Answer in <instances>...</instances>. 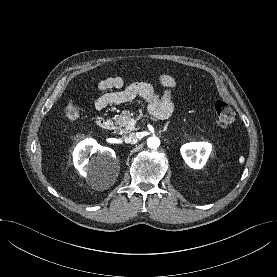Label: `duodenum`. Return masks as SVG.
I'll list each match as a JSON object with an SVG mask.
<instances>
[{
  "instance_id": "1",
  "label": "duodenum",
  "mask_w": 277,
  "mask_h": 277,
  "mask_svg": "<svg viewBox=\"0 0 277 277\" xmlns=\"http://www.w3.org/2000/svg\"><path fill=\"white\" fill-rule=\"evenodd\" d=\"M97 125H98L101 129L108 130V129L111 128L112 123H111V121H110L109 119L101 117V118H99V119L97 120Z\"/></svg>"
}]
</instances>
